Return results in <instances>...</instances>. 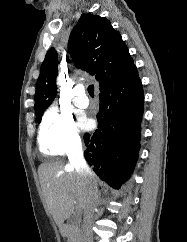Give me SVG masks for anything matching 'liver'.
<instances>
[{"instance_id":"liver-1","label":"liver","mask_w":187,"mask_h":242,"mask_svg":"<svg viewBox=\"0 0 187 242\" xmlns=\"http://www.w3.org/2000/svg\"><path fill=\"white\" fill-rule=\"evenodd\" d=\"M38 175L42 193L55 223L61 227L74 212L75 203L84 209L88 187L92 179L82 178L74 167L62 161H52L39 166Z\"/></svg>"}]
</instances>
